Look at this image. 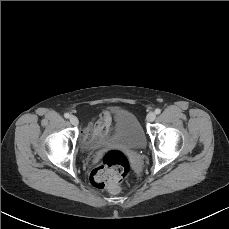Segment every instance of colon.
Listing matches in <instances>:
<instances>
[{
	"mask_svg": "<svg viewBox=\"0 0 229 229\" xmlns=\"http://www.w3.org/2000/svg\"><path fill=\"white\" fill-rule=\"evenodd\" d=\"M129 159L119 150L104 154L100 164L91 172L90 180L99 189L116 190L129 172Z\"/></svg>",
	"mask_w": 229,
	"mask_h": 229,
	"instance_id": "colon-1",
	"label": "colon"
}]
</instances>
